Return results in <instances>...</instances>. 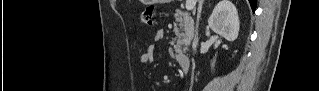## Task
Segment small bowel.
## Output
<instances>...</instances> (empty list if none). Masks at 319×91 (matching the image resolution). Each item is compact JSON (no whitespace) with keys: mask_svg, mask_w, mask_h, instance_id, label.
<instances>
[{"mask_svg":"<svg viewBox=\"0 0 319 91\" xmlns=\"http://www.w3.org/2000/svg\"><path fill=\"white\" fill-rule=\"evenodd\" d=\"M155 38L159 40L161 38V34L157 33L155 34ZM154 53H155V48L154 46H150L147 48V50L141 55L140 60L143 64H148L153 62L154 60Z\"/></svg>","mask_w":319,"mask_h":91,"instance_id":"1","label":"small bowel"}]
</instances>
